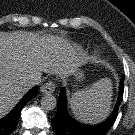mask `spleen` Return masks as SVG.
<instances>
[{"label": "spleen", "instance_id": "spleen-1", "mask_svg": "<svg viewBox=\"0 0 135 135\" xmlns=\"http://www.w3.org/2000/svg\"><path fill=\"white\" fill-rule=\"evenodd\" d=\"M112 82L102 78L91 86L77 91L70 101V107L77 119L85 123L104 120L112 104Z\"/></svg>", "mask_w": 135, "mask_h": 135}]
</instances>
